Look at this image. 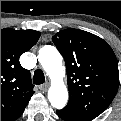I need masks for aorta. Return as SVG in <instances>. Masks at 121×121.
Masks as SVG:
<instances>
[{
	"instance_id": "obj_1",
	"label": "aorta",
	"mask_w": 121,
	"mask_h": 121,
	"mask_svg": "<svg viewBox=\"0 0 121 121\" xmlns=\"http://www.w3.org/2000/svg\"><path fill=\"white\" fill-rule=\"evenodd\" d=\"M38 61L52 82L48 91V100L51 106L56 109L64 108L68 100V90L63 83L65 72L60 53L54 46H43L39 50Z\"/></svg>"
}]
</instances>
